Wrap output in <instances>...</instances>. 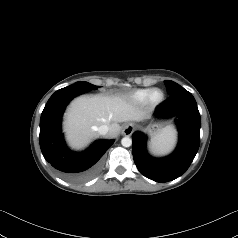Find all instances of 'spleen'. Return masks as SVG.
<instances>
[{
    "mask_svg": "<svg viewBox=\"0 0 238 238\" xmlns=\"http://www.w3.org/2000/svg\"><path fill=\"white\" fill-rule=\"evenodd\" d=\"M176 143V131L168 126L162 133L151 141V149L155 154H164L170 151Z\"/></svg>",
    "mask_w": 238,
    "mask_h": 238,
    "instance_id": "obj_1",
    "label": "spleen"
}]
</instances>
